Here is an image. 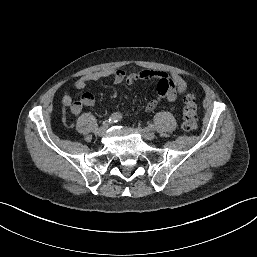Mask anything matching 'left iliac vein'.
Returning a JSON list of instances; mask_svg holds the SVG:
<instances>
[{"mask_svg": "<svg viewBox=\"0 0 257 257\" xmlns=\"http://www.w3.org/2000/svg\"><path fill=\"white\" fill-rule=\"evenodd\" d=\"M137 131L142 135V137L146 140H153L155 138V133L148 130L143 129L141 127H137Z\"/></svg>", "mask_w": 257, "mask_h": 257, "instance_id": "1", "label": "left iliac vein"}]
</instances>
